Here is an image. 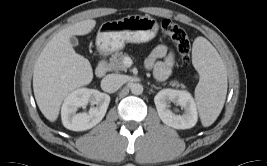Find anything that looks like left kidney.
I'll return each instance as SVG.
<instances>
[{
  "mask_svg": "<svg viewBox=\"0 0 267 166\" xmlns=\"http://www.w3.org/2000/svg\"><path fill=\"white\" fill-rule=\"evenodd\" d=\"M158 115L162 122L175 129H189L198 120L196 104L187 91L163 89L154 97ZM175 103L184 109V114L176 115L170 110V104Z\"/></svg>",
  "mask_w": 267,
  "mask_h": 166,
  "instance_id": "1",
  "label": "left kidney"
}]
</instances>
